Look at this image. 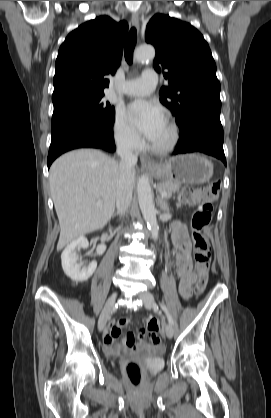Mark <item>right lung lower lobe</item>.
Returning a JSON list of instances; mask_svg holds the SVG:
<instances>
[{"instance_id": "right-lung-lower-lobe-1", "label": "right lung lower lobe", "mask_w": 271, "mask_h": 418, "mask_svg": "<svg viewBox=\"0 0 271 418\" xmlns=\"http://www.w3.org/2000/svg\"><path fill=\"white\" fill-rule=\"evenodd\" d=\"M112 126L113 123L92 119L67 123L52 129L48 168L59 155L72 149L98 148L115 151Z\"/></svg>"}]
</instances>
